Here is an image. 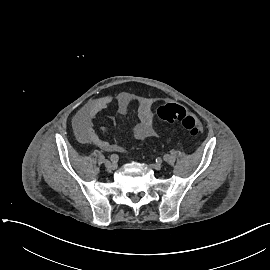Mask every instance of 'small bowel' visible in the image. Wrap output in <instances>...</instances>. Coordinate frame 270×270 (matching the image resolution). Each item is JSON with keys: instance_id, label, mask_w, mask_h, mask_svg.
Here are the masks:
<instances>
[{"instance_id": "c3829d8e", "label": "small bowel", "mask_w": 270, "mask_h": 270, "mask_svg": "<svg viewBox=\"0 0 270 270\" xmlns=\"http://www.w3.org/2000/svg\"><path fill=\"white\" fill-rule=\"evenodd\" d=\"M114 101L110 95H102L90 100L75 115L73 127L81 143H92L105 151H115L119 146L98 136L93 127L94 117L107 109ZM131 97L127 93H120L116 99L117 112L125 114L131 104ZM154 99L143 98L138 106L139 121L131 126V134L137 140H145L156 135L154 114L152 107ZM113 117V116H112Z\"/></svg>"}]
</instances>
